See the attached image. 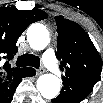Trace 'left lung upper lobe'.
<instances>
[{"mask_svg":"<svg viewBox=\"0 0 103 103\" xmlns=\"http://www.w3.org/2000/svg\"><path fill=\"white\" fill-rule=\"evenodd\" d=\"M55 20L58 32L56 57L66 71L62 80L69 78L95 84L100 80L102 60L88 34L79 24L62 16H56Z\"/></svg>","mask_w":103,"mask_h":103,"instance_id":"1","label":"left lung upper lobe"}]
</instances>
